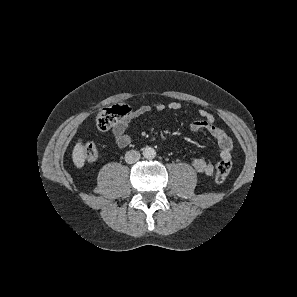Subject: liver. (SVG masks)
Wrapping results in <instances>:
<instances>
[{
	"label": "liver",
	"instance_id": "1",
	"mask_svg": "<svg viewBox=\"0 0 297 297\" xmlns=\"http://www.w3.org/2000/svg\"><path fill=\"white\" fill-rule=\"evenodd\" d=\"M72 158L77 168L83 167L86 156H85L84 148L80 142L76 143L73 149Z\"/></svg>",
	"mask_w": 297,
	"mask_h": 297
}]
</instances>
